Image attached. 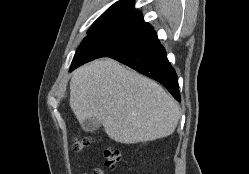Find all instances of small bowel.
<instances>
[{
	"instance_id": "c3829d8e",
	"label": "small bowel",
	"mask_w": 249,
	"mask_h": 174,
	"mask_svg": "<svg viewBox=\"0 0 249 174\" xmlns=\"http://www.w3.org/2000/svg\"><path fill=\"white\" fill-rule=\"evenodd\" d=\"M83 174H105V172L100 168H94L91 171L84 172Z\"/></svg>"
}]
</instances>
